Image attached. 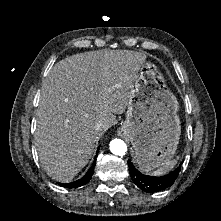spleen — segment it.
<instances>
[{
	"label": "spleen",
	"instance_id": "spleen-1",
	"mask_svg": "<svg viewBox=\"0 0 221 221\" xmlns=\"http://www.w3.org/2000/svg\"><path fill=\"white\" fill-rule=\"evenodd\" d=\"M176 164H177V160L174 159V160L168 161L167 163L160 166L159 168H157L154 171H149V173L152 175H155V176L163 175L166 172H168L169 170L173 169Z\"/></svg>",
	"mask_w": 221,
	"mask_h": 221
}]
</instances>
